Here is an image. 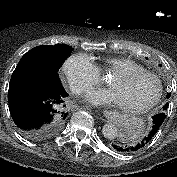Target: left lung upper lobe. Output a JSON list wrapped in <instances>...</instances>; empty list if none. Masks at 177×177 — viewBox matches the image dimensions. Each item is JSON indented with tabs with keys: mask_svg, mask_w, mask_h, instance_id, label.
Returning a JSON list of instances; mask_svg holds the SVG:
<instances>
[{
	"mask_svg": "<svg viewBox=\"0 0 177 177\" xmlns=\"http://www.w3.org/2000/svg\"><path fill=\"white\" fill-rule=\"evenodd\" d=\"M168 108V103L165 104V106L163 107V111L167 110Z\"/></svg>",
	"mask_w": 177,
	"mask_h": 177,
	"instance_id": "5c2ea615",
	"label": "left lung upper lobe"
}]
</instances>
